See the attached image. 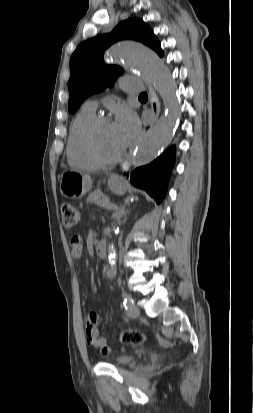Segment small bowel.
<instances>
[{"label":"small bowel","mask_w":253,"mask_h":413,"mask_svg":"<svg viewBox=\"0 0 253 413\" xmlns=\"http://www.w3.org/2000/svg\"><path fill=\"white\" fill-rule=\"evenodd\" d=\"M72 255L79 257L82 252V242L79 236H74L71 240ZM99 323V316L96 313H90L86 320L85 334L87 341L95 348L101 349L103 354H107L110 349L106 344L105 339L99 336L97 325Z\"/></svg>","instance_id":"small-bowel-1"}]
</instances>
